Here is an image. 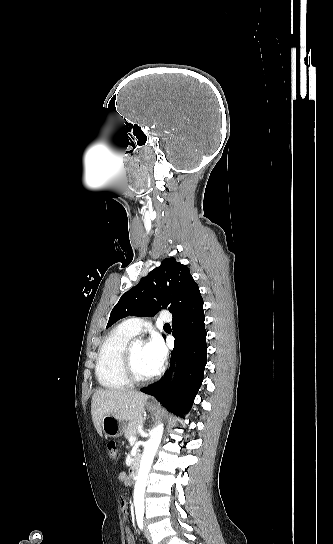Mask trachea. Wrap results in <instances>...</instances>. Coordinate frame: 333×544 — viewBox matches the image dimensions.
<instances>
[{
  "mask_svg": "<svg viewBox=\"0 0 333 544\" xmlns=\"http://www.w3.org/2000/svg\"><path fill=\"white\" fill-rule=\"evenodd\" d=\"M164 326H165V327H170V325H169L168 323H166Z\"/></svg>",
  "mask_w": 333,
  "mask_h": 544,
  "instance_id": "obj_1",
  "label": "trachea"
}]
</instances>
